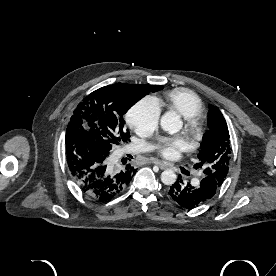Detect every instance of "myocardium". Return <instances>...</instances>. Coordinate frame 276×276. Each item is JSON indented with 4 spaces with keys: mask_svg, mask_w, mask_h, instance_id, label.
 Segmentation results:
<instances>
[{
    "mask_svg": "<svg viewBox=\"0 0 276 276\" xmlns=\"http://www.w3.org/2000/svg\"><path fill=\"white\" fill-rule=\"evenodd\" d=\"M184 130L192 145H195L202 135V121L199 115L185 119Z\"/></svg>",
    "mask_w": 276,
    "mask_h": 276,
    "instance_id": "1",
    "label": "myocardium"
}]
</instances>
